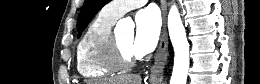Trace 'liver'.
I'll return each instance as SVG.
<instances>
[{
    "label": "liver",
    "mask_w": 260,
    "mask_h": 84,
    "mask_svg": "<svg viewBox=\"0 0 260 84\" xmlns=\"http://www.w3.org/2000/svg\"><path fill=\"white\" fill-rule=\"evenodd\" d=\"M87 84H141L140 75H122L119 77L98 80L95 83L87 81Z\"/></svg>",
    "instance_id": "obj_1"
}]
</instances>
